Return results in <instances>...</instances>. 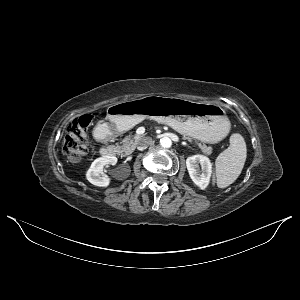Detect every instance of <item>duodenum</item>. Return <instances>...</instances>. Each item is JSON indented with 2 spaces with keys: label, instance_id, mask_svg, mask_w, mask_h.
<instances>
[{
  "label": "duodenum",
  "instance_id": "obj_1",
  "mask_svg": "<svg viewBox=\"0 0 300 300\" xmlns=\"http://www.w3.org/2000/svg\"><path fill=\"white\" fill-rule=\"evenodd\" d=\"M109 134V128L105 127L95 132L94 138L97 142L103 143L106 141ZM101 154L103 156H115L117 154V150L112 145H104L101 148Z\"/></svg>",
  "mask_w": 300,
  "mask_h": 300
}]
</instances>
